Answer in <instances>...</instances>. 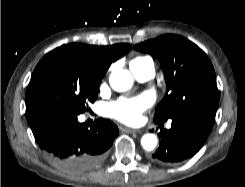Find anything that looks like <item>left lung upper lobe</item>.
Here are the masks:
<instances>
[{
    "label": "left lung upper lobe",
    "mask_w": 245,
    "mask_h": 187,
    "mask_svg": "<svg viewBox=\"0 0 245 187\" xmlns=\"http://www.w3.org/2000/svg\"><path fill=\"white\" fill-rule=\"evenodd\" d=\"M162 64L166 95L156 107L155 121L193 113L216 114L219 94L214 68L207 55L179 35H163L135 46Z\"/></svg>",
    "instance_id": "1"
}]
</instances>
